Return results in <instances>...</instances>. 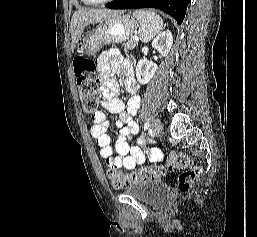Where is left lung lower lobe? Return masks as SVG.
Returning a JSON list of instances; mask_svg holds the SVG:
<instances>
[{"mask_svg": "<svg viewBox=\"0 0 257 237\" xmlns=\"http://www.w3.org/2000/svg\"><path fill=\"white\" fill-rule=\"evenodd\" d=\"M190 0H117L106 4L110 9L156 8L172 16L178 24L184 20Z\"/></svg>", "mask_w": 257, "mask_h": 237, "instance_id": "1", "label": "left lung lower lobe"}]
</instances>
